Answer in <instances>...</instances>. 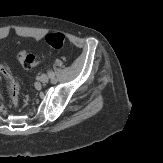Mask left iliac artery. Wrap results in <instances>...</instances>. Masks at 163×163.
<instances>
[{
    "label": "left iliac artery",
    "instance_id": "1",
    "mask_svg": "<svg viewBox=\"0 0 163 163\" xmlns=\"http://www.w3.org/2000/svg\"><path fill=\"white\" fill-rule=\"evenodd\" d=\"M48 76L51 78V79H54L55 78V74L53 71H48Z\"/></svg>",
    "mask_w": 163,
    "mask_h": 163
}]
</instances>
